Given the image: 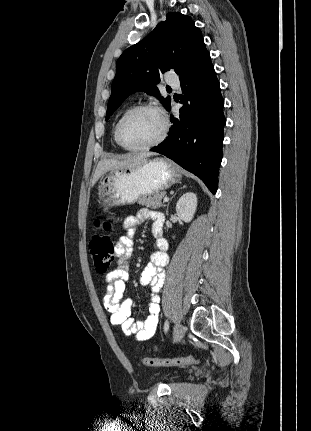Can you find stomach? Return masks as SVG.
Segmentation results:
<instances>
[{
    "label": "stomach",
    "mask_w": 311,
    "mask_h": 431,
    "mask_svg": "<svg viewBox=\"0 0 311 431\" xmlns=\"http://www.w3.org/2000/svg\"><path fill=\"white\" fill-rule=\"evenodd\" d=\"M182 174L166 158L147 160L137 168L115 170L106 174L98 186L97 204L103 214L115 206H132L142 196H152L178 184Z\"/></svg>",
    "instance_id": "obj_1"
}]
</instances>
